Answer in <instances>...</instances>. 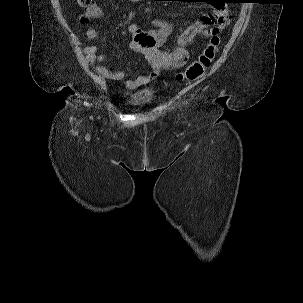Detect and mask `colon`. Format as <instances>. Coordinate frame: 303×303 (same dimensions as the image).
Listing matches in <instances>:
<instances>
[{"label":"colon","instance_id":"1","mask_svg":"<svg viewBox=\"0 0 303 303\" xmlns=\"http://www.w3.org/2000/svg\"><path fill=\"white\" fill-rule=\"evenodd\" d=\"M80 6L86 7L94 3V0H77ZM85 18L81 19V22H84ZM220 33V32H219ZM215 32L210 36V41L205 49L202 51L200 56L191 63L182 73L178 75L179 80L195 81L202 78L212 60L215 57L216 50L220 43V35ZM149 42V39H146Z\"/></svg>","mask_w":303,"mask_h":303}]
</instances>
